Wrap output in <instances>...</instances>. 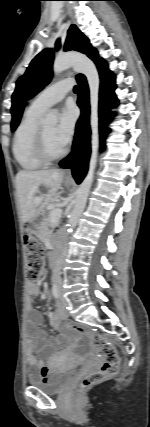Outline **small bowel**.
<instances>
[{
    "label": "small bowel",
    "mask_w": 150,
    "mask_h": 427,
    "mask_svg": "<svg viewBox=\"0 0 150 427\" xmlns=\"http://www.w3.org/2000/svg\"><path fill=\"white\" fill-rule=\"evenodd\" d=\"M29 296H37L40 294V289L37 284L30 283L28 285ZM67 311L60 304L56 305L55 312L52 318V327L56 331H60L59 336H49L41 329L44 317L31 302H29L26 315V362L33 369L32 377L39 376L46 379L57 364L67 356V350L73 345L69 333L71 330L77 329V324L69 319H66ZM42 352L49 359V364L46 365L42 358L36 355L35 351ZM61 350V353L56 352Z\"/></svg>",
    "instance_id": "c3829d8e"
}]
</instances>
